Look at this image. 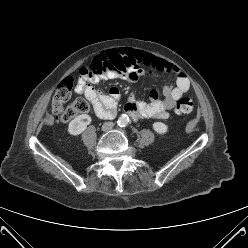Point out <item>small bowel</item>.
<instances>
[{
  "label": "small bowel",
  "mask_w": 248,
  "mask_h": 248,
  "mask_svg": "<svg viewBox=\"0 0 248 248\" xmlns=\"http://www.w3.org/2000/svg\"><path fill=\"white\" fill-rule=\"evenodd\" d=\"M111 52L120 55L128 64V68L125 71L91 74L88 72V67H84L81 70V77L75 86V93L84 95L90 101L95 114L99 118H113L120 97L117 87H111L108 94L95 89L92 84L98 83L100 80L124 79L134 82L146 74L155 77L166 74L176 79L175 85L166 84L163 86V99H158V92L156 90L150 92L151 101L148 103L137 101L133 96H130L125 104V111L133 120L145 118L166 119L176 102L189 90L190 84L186 75L176 66L163 59L144 51L132 49L110 51L96 58L107 57Z\"/></svg>",
  "instance_id": "c3829d8e"
}]
</instances>
